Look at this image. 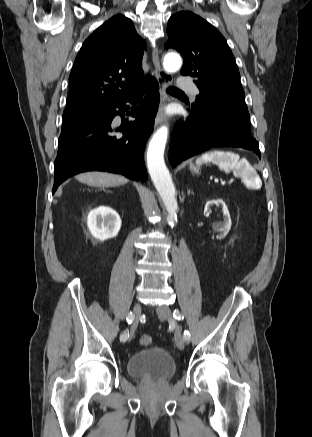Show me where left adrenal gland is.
Wrapping results in <instances>:
<instances>
[{"mask_svg": "<svg viewBox=\"0 0 312 437\" xmlns=\"http://www.w3.org/2000/svg\"><path fill=\"white\" fill-rule=\"evenodd\" d=\"M188 194H190V190H188Z\"/></svg>", "mask_w": 312, "mask_h": 437, "instance_id": "1", "label": "left adrenal gland"}]
</instances>
